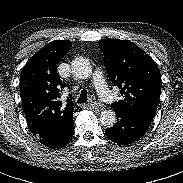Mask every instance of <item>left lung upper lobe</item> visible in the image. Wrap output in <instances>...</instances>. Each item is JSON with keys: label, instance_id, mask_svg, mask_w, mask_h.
I'll return each instance as SVG.
<instances>
[{"label": "left lung upper lobe", "instance_id": "5c2ea615", "mask_svg": "<svg viewBox=\"0 0 183 183\" xmlns=\"http://www.w3.org/2000/svg\"><path fill=\"white\" fill-rule=\"evenodd\" d=\"M110 81L120 88L123 99L111 108L152 122L161 92V76L146 52L128 40L98 41Z\"/></svg>", "mask_w": 183, "mask_h": 183}]
</instances>
